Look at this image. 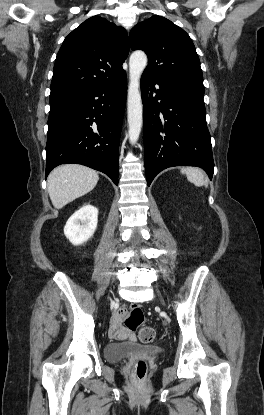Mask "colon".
<instances>
[{
  "mask_svg": "<svg viewBox=\"0 0 264 415\" xmlns=\"http://www.w3.org/2000/svg\"><path fill=\"white\" fill-rule=\"evenodd\" d=\"M144 320V312L141 306H133L129 317L125 320V325L129 329H136ZM156 337V331L153 327L144 326L139 331V339L142 343H151ZM147 372V363L140 359L135 363L134 374L138 381L144 379Z\"/></svg>",
  "mask_w": 264,
  "mask_h": 415,
  "instance_id": "obj_1",
  "label": "colon"
}]
</instances>
